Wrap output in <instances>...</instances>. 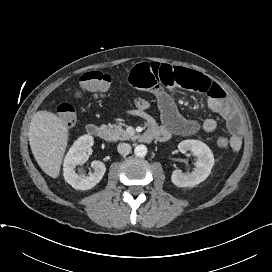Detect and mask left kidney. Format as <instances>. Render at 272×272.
<instances>
[{"label": "left kidney", "mask_w": 272, "mask_h": 272, "mask_svg": "<svg viewBox=\"0 0 272 272\" xmlns=\"http://www.w3.org/2000/svg\"><path fill=\"white\" fill-rule=\"evenodd\" d=\"M181 153L192 152L197 157L196 168L191 173L173 171L171 181L177 187H193L203 182L210 174L214 165V156L210 148L199 140H184L178 144Z\"/></svg>", "instance_id": "left-kidney-1"}]
</instances>
